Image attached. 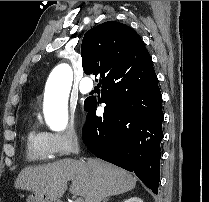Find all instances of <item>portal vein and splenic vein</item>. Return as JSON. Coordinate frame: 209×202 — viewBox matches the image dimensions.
I'll return each instance as SVG.
<instances>
[{
    "instance_id": "obj_1",
    "label": "portal vein and splenic vein",
    "mask_w": 209,
    "mask_h": 202,
    "mask_svg": "<svg viewBox=\"0 0 209 202\" xmlns=\"http://www.w3.org/2000/svg\"><path fill=\"white\" fill-rule=\"evenodd\" d=\"M75 202H84V200L81 197H78Z\"/></svg>"
}]
</instances>
